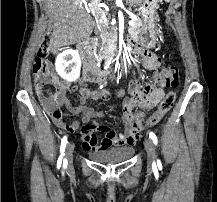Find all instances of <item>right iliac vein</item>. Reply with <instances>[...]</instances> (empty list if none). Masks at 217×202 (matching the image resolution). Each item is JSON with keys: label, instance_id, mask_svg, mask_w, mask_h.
<instances>
[{"label": "right iliac vein", "instance_id": "right-iliac-vein-1", "mask_svg": "<svg viewBox=\"0 0 217 202\" xmlns=\"http://www.w3.org/2000/svg\"><path fill=\"white\" fill-rule=\"evenodd\" d=\"M73 151H74V145L72 143H69L67 145L66 152H65L67 165L69 169H71L73 166Z\"/></svg>", "mask_w": 217, "mask_h": 202}]
</instances>
